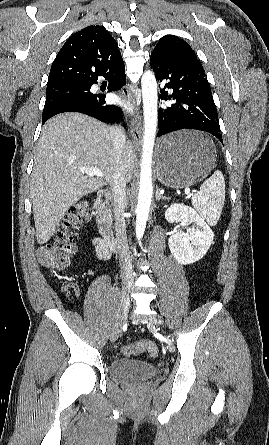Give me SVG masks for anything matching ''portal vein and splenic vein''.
Masks as SVG:
<instances>
[{"label": "portal vein and splenic vein", "mask_w": 269, "mask_h": 445, "mask_svg": "<svg viewBox=\"0 0 269 445\" xmlns=\"http://www.w3.org/2000/svg\"><path fill=\"white\" fill-rule=\"evenodd\" d=\"M79 171L86 173L88 176L92 177V176H97V177H104L103 172H101L98 168L96 167H82L79 168ZM185 193L187 195H190V189L186 188L185 189Z\"/></svg>", "instance_id": "18ae733b"}]
</instances>
